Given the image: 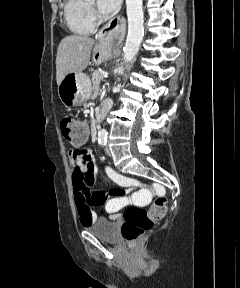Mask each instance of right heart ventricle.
Masks as SVG:
<instances>
[{"mask_svg": "<svg viewBox=\"0 0 240 288\" xmlns=\"http://www.w3.org/2000/svg\"><path fill=\"white\" fill-rule=\"evenodd\" d=\"M64 17L68 28L78 35H89L94 30V20L87 0H66Z\"/></svg>", "mask_w": 240, "mask_h": 288, "instance_id": "1", "label": "right heart ventricle"}]
</instances>
